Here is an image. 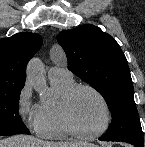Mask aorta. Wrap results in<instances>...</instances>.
Wrapping results in <instances>:
<instances>
[{"mask_svg": "<svg viewBox=\"0 0 145 147\" xmlns=\"http://www.w3.org/2000/svg\"><path fill=\"white\" fill-rule=\"evenodd\" d=\"M27 80L28 82L41 93L42 98H45L46 80L43 70V65L38 58H33L27 67Z\"/></svg>", "mask_w": 145, "mask_h": 147, "instance_id": "1", "label": "aorta"}]
</instances>
